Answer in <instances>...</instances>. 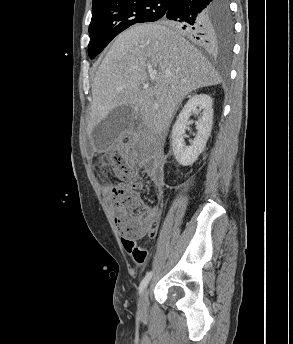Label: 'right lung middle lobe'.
Segmentation results:
<instances>
[{"instance_id":"1","label":"right lung middle lobe","mask_w":293,"mask_h":344,"mask_svg":"<svg viewBox=\"0 0 293 344\" xmlns=\"http://www.w3.org/2000/svg\"><path fill=\"white\" fill-rule=\"evenodd\" d=\"M170 0H114L92 8L88 55L95 58L120 32L131 25L163 18ZM213 15L215 44L231 47L233 26L227 0H217Z\"/></svg>"}]
</instances>
